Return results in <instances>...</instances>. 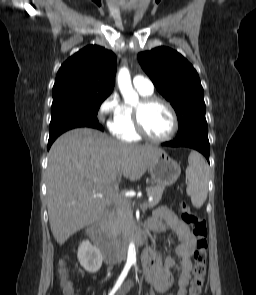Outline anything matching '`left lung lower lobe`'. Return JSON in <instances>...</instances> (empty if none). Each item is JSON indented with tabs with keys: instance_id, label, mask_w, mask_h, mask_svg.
<instances>
[{
	"instance_id": "left-lung-lower-lobe-1",
	"label": "left lung lower lobe",
	"mask_w": 256,
	"mask_h": 295,
	"mask_svg": "<svg viewBox=\"0 0 256 295\" xmlns=\"http://www.w3.org/2000/svg\"><path fill=\"white\" fill-rule=\"evenodd\" d=\"M162 145L169 147H189L202 153L209 161V140L207 135H190L176 138L173 141L165 142Z\"/></svg>"
}]
</instances>
